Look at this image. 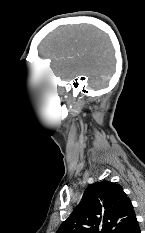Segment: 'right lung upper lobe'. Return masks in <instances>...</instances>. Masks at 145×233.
<instances>
[{
  "label": "right lung upper lobe",
  "mask_w": 145,
  "mask_h": 233,
  "mask_svg": "<svg viewBox=\"0 0 145 233\" xmlns=\"http://www.w3.org/2000/svg\"><path fill=\"white\" fill-rule=\"evenodd\" d=\"M132 203L118 184H91L57 233H124L135 218Z\"/></svg>",
  "instance_id": "obj_1"
}]
</instances>
